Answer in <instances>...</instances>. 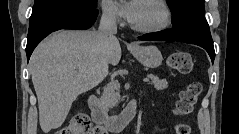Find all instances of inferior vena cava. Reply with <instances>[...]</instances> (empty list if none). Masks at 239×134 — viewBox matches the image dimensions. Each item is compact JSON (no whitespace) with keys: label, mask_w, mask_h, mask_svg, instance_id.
Segmentation results:
<instances>
[{"label":"inferior vena cava","mask_w":239,"mask_h":134,"mask_svg":"<svg viewBox=\"0 0 239 134\" xmlns=\"http://www.w3.org/2000/svg\"><path fill=\"white\" fill-rule=\"evenodd\" d=\"M98 32L107 42L115 39V34L117 33L116 16L111 9L103 10ZM100 73L104 77L108 74V63L103 62L100 65Z\"/></svg>","instance_id":"1"}]
</instances>
